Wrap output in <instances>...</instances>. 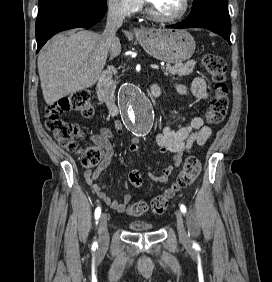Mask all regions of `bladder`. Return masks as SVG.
Wrapping results in <instances>:
<instances>
[{
    "instance_id": "bladder-1",
    "label": "bladder",
    "mask_w": 272,
    "mask_h": 282,
    "mask_svg": "<svg viewBox=\"0 0 272 282\" xmlns=\"http://www.w3.org/2000/svg\"><path fill=\"white\" fill-rule=\"evenodd\" d=\"M128 225L135 232L149 231L154 228V226L151 223L141 220H133L129 222Z\"/></svg>"
}]
</instances>
